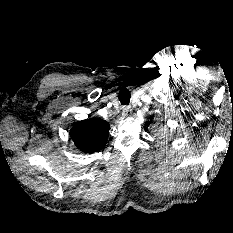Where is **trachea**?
Segmentation results:
<instances>
[{"label": "trachea", "mask_w": 233, "mask_h": 233, "mask_svg": "<svg viewBox=\"0 0 233 233\" xmlns=\"http://www.w3.org/2000/svg\"><path fill=\"white\" fill-rule=\"evenodd\" d=\"M131 94L130 91L126 88L121 89L119 92V101L122 105H128L130 102Z\"/></svg>", "instance_id": "3493384b"}]
</instances>
